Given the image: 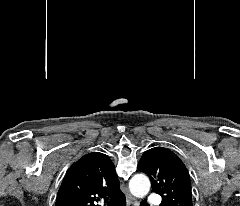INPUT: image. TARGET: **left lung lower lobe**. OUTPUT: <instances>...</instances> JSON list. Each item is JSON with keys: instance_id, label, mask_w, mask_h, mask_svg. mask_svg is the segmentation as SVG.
I'll list each match as a JSON object with an SVG mask.
<instances>
[{"instance_id": "obj_1", "label": "left lung lower lobe", "mask_w": 240, "mask_h": 206, "mask_svg": "<svg viewBox=\"0 0 240 206\" xmlns=\"http://www.w3.org/2000/svg\"><path fill=\"white\" fill-rule=\"evenodd\" d=\"M141 206H148V204L146 202H142Z\"/></svg>"}]
</instances>
